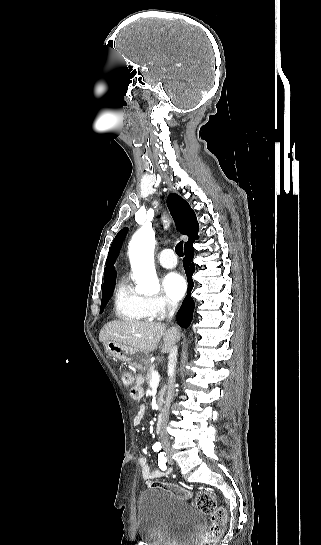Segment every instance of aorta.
Masks as SVG:
<instances>
[{
  "label": "aorta",
  "instance_id": "1",
  "mask_svg": "<svg viewBox=\"0 0 321 545\" xmlns=\"http://www.w3.org/2000/svg\"><path fill=\"white\" fill-rule=\"evenodd\" d=\"M155 233L151 226L141 227L129 243V258L138 291L142 294H155L159 291L154 267Z\"/></svg>",
  "mask_w": 321,
  "mask_h": 545
}]
</instances>
